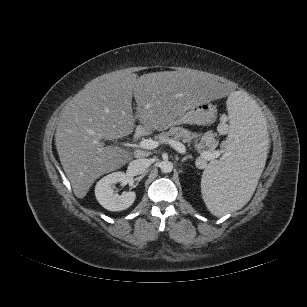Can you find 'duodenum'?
<instances>
[{
    "mask_svg": "<svg viewBox=\"0 0 307 307\" xmlns=\"http://www.w3.org/2000/svg\"><path fill=\"white\" fill-rule=\"evenodd\" d=\"M146 131L144 128H138L135 132V138H141L145 135Z\"/></svg>",
    "mask_w": 307,
    "mask_h": 307,
    "instance_id": "1",
    "label": "duodenum"
}]
</instances>
